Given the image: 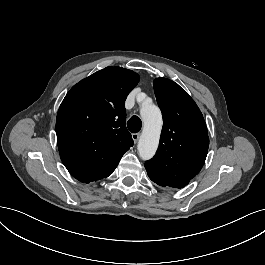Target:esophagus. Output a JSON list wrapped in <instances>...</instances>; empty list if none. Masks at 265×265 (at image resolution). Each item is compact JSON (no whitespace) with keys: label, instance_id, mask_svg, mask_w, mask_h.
Returning <instances> with one entry per match:
<instances>
[{"label":"esophagus","instance_id":"34e87169","mask_svg":"<svg viewBox=\"0 0 265 265\" xmlns=\"http://www.w3.org/2000/svg\"><path fill=\"white\" fill-rule=\"evenodd\" d=\"M139 136H140L139 133H133V134H132V138H133V140H134L135 143L138 142V140H139Z\"/></svg>","mask_w":265,"mask_h":265}]
</instances>
